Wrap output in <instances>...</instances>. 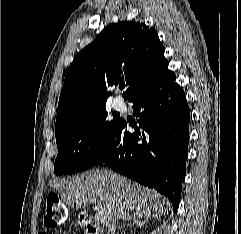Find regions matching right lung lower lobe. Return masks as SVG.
<instances>
[{
    "mask_svg": "<svg viewBox=\"0 0 241 234\" xmlns=\"http://www.w3.org/2000/svg\"><path fill=\"white\" fill-rule=\"evenodd\" d=\"M167 66L127 99L133 103L139 127L120 119L96 164L108 163L114 171L155 189L169 198L176 211L186 175L189 107ZM128 125L134 133L127 131Z\"/></svg>",
    "mask_w": 241,
    "mask_h": 234,
    "instance_id": "1",
    "label": "right lung lower lobe"
}]
</instances>
